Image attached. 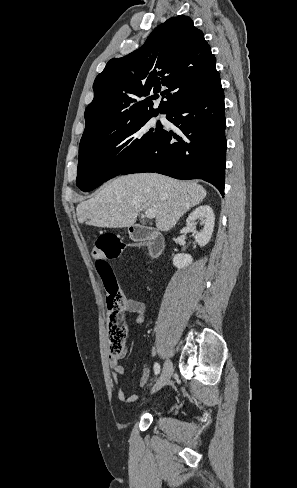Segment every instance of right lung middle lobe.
<instances>
[{
  "label": "right lung middle lobe",
  "instance_id": "dd1d6c3e",
  "mask_svg": "<svg viewBox=\"0 0 297 488\" xmlns=\"http://www.w3.org/2000/svg\"><path fill=\"white\" fill-rule=\"evenodd\" d=\"M144 117L95 138L81 139L76 184L82 191H91L121 174L146 150L162 131L146 123Z\"/></svg>",
  "mask_w": 297,
  "mask_h": 488
}]
</instances>
